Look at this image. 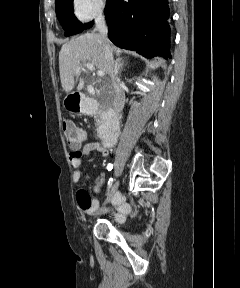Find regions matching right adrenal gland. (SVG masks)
I'll return each mask as SVG.
<instances>
[{"mask_svg":"<svg viewBox=\"0 0 240 288\" xmlns=\"http://www.w3.org/2000/svg\"><path fill=\"white\" fill-rule=\"evenodd\" d=\"M123 69V63L119 60H117L115 62V71L118 73V72H121Z\"/></svg>","mask_w":240,"mask_h":288,"instance_id":"obj_1","label":"right adrenal gland"}]
</instances>
